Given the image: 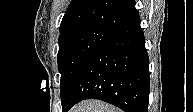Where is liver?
<instances>
[{"mask_svg":"<svg viewBox=\"0 0 193 112\" xmlns=\"http://www.w3.org/2000/svg\"><path fill=\"white\" fill-rule=\"evenodd\" d=\"M70 112H121V110L102 101L86 100L74 106Z\"/></svg>","mask_w":193,"mask_h":112,"instance_id":"obj_1","label":"liver"}]
</instances>
